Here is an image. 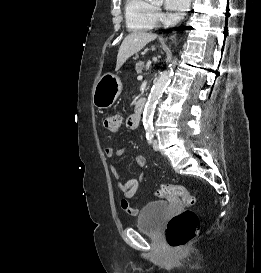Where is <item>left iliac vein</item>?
I'll return each mask as SVG.
<instances>
[{
    "label": "left iliac vein",
    "mask_w": 261,
    "mask_h": 273,
    "mask_svg": "<svg viewBox=\"0 0 261 273\" xmlns=\"http://www.w3.org/2000/svg\"><path fill=\"white\" fill-rule=\"evenodd\" d=\"M153 149H154L155 151H158V149H159L158 141H157V140H154V141H153Z\"/></svg>",
    "instance_id": "left-iliac-vein-1"
}]
</instances>
